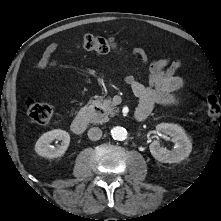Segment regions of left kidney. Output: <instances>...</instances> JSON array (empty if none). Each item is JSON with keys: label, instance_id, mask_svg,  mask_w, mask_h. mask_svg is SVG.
Masks as SVG:
<instances>
[{"label": "left kidney", "instance_id": "left-kidney-1", "mask_svg": "<svg viewBox=\"0 0 221 221\" xmlns=\"http://www.w3.org/2000/svg\"><path fill=\"white\" fill-rule=\"evenodd\" d=\"M158 133L169 135L174 143L172 150L161 147L159 141L155 140L149 145L152 156L162 163H178L187 158L192 151V143L185 130L172 123H160L156 126Z\"/></svg>", "mask_w": 221, "mask_h": 221}]
</instances>
